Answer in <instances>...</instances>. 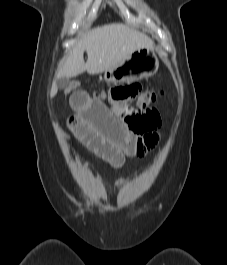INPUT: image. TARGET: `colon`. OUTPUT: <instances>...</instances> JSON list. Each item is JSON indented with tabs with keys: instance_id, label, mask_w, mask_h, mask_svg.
Instances as JSON below:
<instances>
[{
	"instance_id": "1",
	"label": "colon",
	"mask_w": 227,
	"mask_h": 265,
	"mask_svg": "<svg viewBox=\"0 0 227 265\" xmlns=\"http://www.w3.org/2000/svg\"><path fill=\"white\" fill-rule=\"evenodd\" d=\"M73 91H83L78 82L70 83L65 94L68 97L73 96ZM161 94L149 90L140 92L138 86L127 84L112 87L109 98L128 128L135 134L144 135L157 130L161 125L159 112L152 107ZM135 97L137 103L134 106L131 102Z\"/></svg>"
}]
</instances>
